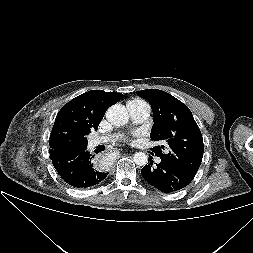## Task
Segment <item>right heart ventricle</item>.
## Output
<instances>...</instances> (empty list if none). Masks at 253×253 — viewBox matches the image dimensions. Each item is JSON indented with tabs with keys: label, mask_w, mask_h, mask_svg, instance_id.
<instances>
[{
	"label": "right heart ventricle",
	"mask_w": 253,
	"mask_h": 253,
	"mask_svg": "<svg viewBox=\"0 0 253 253\" xmlns=\"http://www.w3.org/2000/svg\"><path fill=\"white\" fill-rule=\"evenodd\" d=\"M131 101H142V100H140V99H133V100H131Z\"/></svg>",
	"instance_id": "right-heart-ventricle-1"
}]
</instances>
